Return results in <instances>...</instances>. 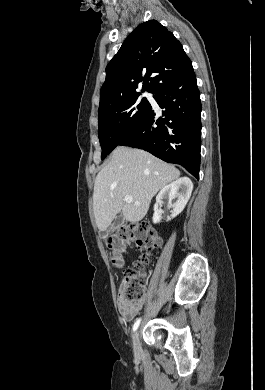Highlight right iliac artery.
Listing matches in <instances>:
<instances>
[{
	"mask_svg": "<svg viewBox=\"0 0 265 390\" xmlns=\"http://www.w3.org/2000/svg\"><path fill=\"white\" fill-rule=\"evenodd\" d=\"M140 322H141V318L136 320V322L134 323L133 328H132L133 332H135L137 330V328L139 327Z\"/></svg>",
	"mask_w": 265,
	"mask_h": 390,
	"instance_id": "right-iliac-artery-1",
	"label": "right iliac artery"
}]
</instances>
